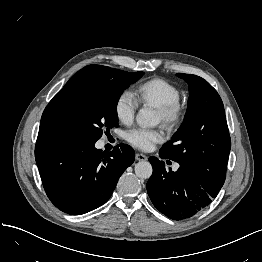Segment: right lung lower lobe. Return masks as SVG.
<instances>
[{
    "instance_id": "98d812e1",
    "label": "right lung lower lobe",
    "mask_w": 262,
    "mask_h": 262,
    "mask_svg": "<svg viewBox=\"0 0 262 262\" xmlns=\"http://www.w3.org/2000/svg\"><path fill=\"white\" fill-rule=\"evenodd\" d=\"M35 158L45 192L63 212L80 215L103 205L135 158L119 144L107 154L95 142L68 133L40 129Z\"/></svg>"
}]
</instances>
